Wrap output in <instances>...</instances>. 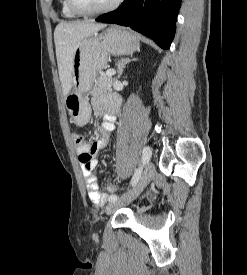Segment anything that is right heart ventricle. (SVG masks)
<instances>
[{
    "mask_svg": "<svg viewBox=\"0 0 247 275\" xmlns=\"http://www.w3.org/2000/svg\"><path fill=\"white\" fill-rule=\"evenodd\" d=\"M62 10L64 15L68 18H75L78 16V14H76L69 8L66 0H62Z\"/></svg>",
    "mask_w": 247,
    "mask_h": 275,
    "instance_id": "right-heart-ventricle-1",
    "label": "right heart ventricle"
}]
</instances>
